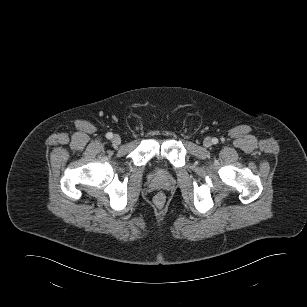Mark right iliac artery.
Wrapping results in <instances>:
<instances>
[{
  "instance_id": "obj_1",
  "label": "right iliac artery",
  "mask_w": 307,
  "mask_h": 307,
  "mask_svg": "<svg viewBox=\"0 0 307 307\" xmlns=\"http://www.w3.org/2000/svg\"><path fill=\"white\" fill-rule=\"evenodd\" d=\"M113 137V134L111 133V132H108L107 134H106V138L107 139H111Z\"/></svg>"
}]
</instances>
